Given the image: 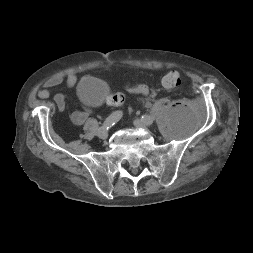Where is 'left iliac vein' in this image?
<instances>
[{
    "instance_id": "obj_1",
    "label": "left iliac vein",
    "mask_w": 253,
    "mask_h": 253,
    "mask_svg": "<svg viewBox=\"0 0 253 253\" xmlns=\"http://www.w3.org/2000/svg\"><path fill=\"white\" fill-rule=\"evenodd\" d=\"M151 121H153V118H152V117H150V122H151ZM133 125H134L136 128H146L147 126H149V125L146 124L143 120H139V119L134 120Z\"/></svg>"
}]
</instances>
